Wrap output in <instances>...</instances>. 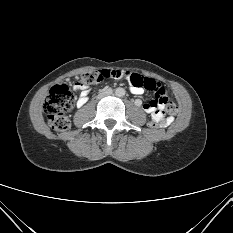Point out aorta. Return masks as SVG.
<instances>
[{
	"label": "aorta",
	"instance_id": "762f6f07",
	"mask_svg": "<svg viewBox=\"0 0 233 233\" xmlns=\"http://www.w3.org/2000/svg\"><path fill=\"white\" fill-rule=\"evenodd\" d=\"M115 95L118 96V97H123L125 95V89L123 88H117L115 90Z\"/></svg>",
	"mask_w": 233,
	"mask_h": 233
}]
</instances>
